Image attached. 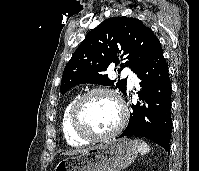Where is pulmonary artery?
<instances>
[{
  "label": "pulmonary artery",
  "instance_id": "1",
  "mask_svg": "<svg viewBox=\"0 0 199 171\" xmlns=\"http://www.w3.org/2000/svg\"><path fill=\"white\" fill-rule=\"evenodd\" d=\"M126 72L129 75L130 83H132V84L135 83L137 81L136 77L132 73H130L128 70H126Z\"/></svg>",
  "mask_w": 199,
  "mask_h": 171
}]
</instances>
